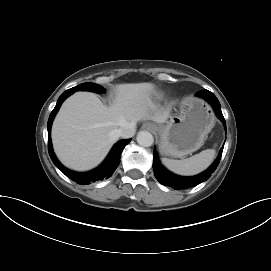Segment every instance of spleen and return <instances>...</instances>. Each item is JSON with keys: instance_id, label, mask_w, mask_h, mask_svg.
Returning <instances> with one entry per match:
<instances>
[{"instance_id": "obj_1", "label": "spleen", "mask_w": 271, "mask_h": 271, "mask_svg": "<svg viewBox=\"0 0 271 271\" xmlns=\"http://www.w3.org/2000/svg\"><path fill=\"white\" fill-rule=\"evenodd\" d=\"M215 157L214 149H206L190 158L173 160L162 158L163 165L175 174L193 176L204 171L212 163Z\"/></svg>"}]
</instances>
